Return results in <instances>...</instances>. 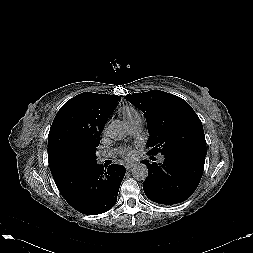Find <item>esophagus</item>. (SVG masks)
<instances>
[{"mask_svg": "<svg viewBox=\"0 0 253 253\" xmlns=\"http://www.w3.org/2000/svg\"><path fill=\"white\" fill-rule=\"evenodd\" d=\"M133 163H131V162H128V163H126L125 164V168H126V170H130L132 167H133Z\"/></svg>", "mask_w": 253, "mask_h": 253, "instance_id": "1", "label": "esophagus"}]
</instances>
